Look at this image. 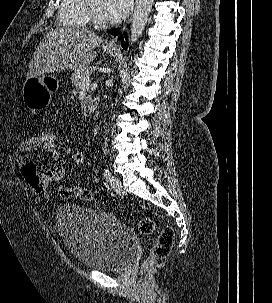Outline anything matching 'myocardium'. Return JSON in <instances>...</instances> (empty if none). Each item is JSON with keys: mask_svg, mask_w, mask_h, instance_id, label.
Masks as SVG:
<instances>
[{"mask_svg": "<svg viewBox=\"0 0 272 303\" xmlns=\"http://www.w3.org/2000/svg\"><path fill=\"white\" fill-rule=\"evenodd\" d=\"M86 10L88 18L92 24L100 27L105 25V20L99 15L97 10L95 9L93 5V0H87Z\"/></svg>", "mask_w": 272, "mask_h": 303, "instance_id": "f54148a6", "label": "myocardium"}]
</instances>
